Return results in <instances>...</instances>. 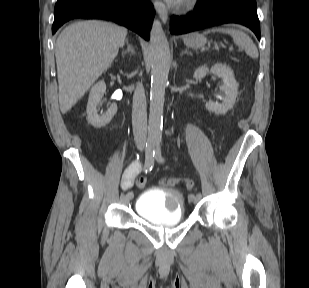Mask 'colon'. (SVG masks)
I'll use <instances>...</instances> for the list:
<instances>
[{
    "label": "colon",
    "instance_id": "5ec220e1",
    "mask_svg": "<svg viewBox=\"0 0 309 288\" xmlns=\"http://www.w3.org/2000/svg\"><path fill=\"white\" fill-rule=\"evenodd\" d=\"M181 181L184 182V184H185V186L188 190L194 189L195 184H194L193 180L190 179V178H187V179H184V180H181L179 178H174V177L165 178V179L162 180V184L165 187H174V186L178 185ZM146 182H147L146 178L139 177L136 181V184H137L138 187L142 188L146 185Z\"/></svg>",
    "mask_w": 309,
    "mask_h": 288
}]
</instances>
